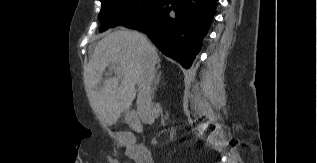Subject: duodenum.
I'll return each mask as SVG.
<instances>
[{
    "instance_id": "duodenum-1",
    "label": "duodenum",
    "mask_w": 317,
    "mask_h": 163,
    "mask_svg": "<svg viewBox=\"0 0 317 163\" xmlns=\"http://www.w3.org/2000/svg\"><path fill=\"white\" fill-rule=\"evenodd\" d=\"M124 118L128 124V126L135 132H140L142 131V122H141V118L138 114V112L134 111V110H128L125 114H124ZM125 139H127L125 137ZM131 147L133 148V151L135 152V154L139 157H143V156H147L149 154V150L142 145H138V144H130Z\"/></svg>"
}]
</instances>
